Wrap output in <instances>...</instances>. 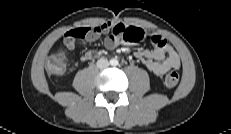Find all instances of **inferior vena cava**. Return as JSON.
<instances>
[{
  "label": "inferior vena cava",
  "instance_id": "1",
  "mask_svg": "<svg viewBox=\"0 0 231 134\" xmlns=\"http://www.w3.org/2000/svg\"><path fill=\"white\" fill-rule=\"evenodd\" d=\"M109 66V62L107 59L105 58H100L98 61H97V67L100 68V69H103V68H106Z\"/></svg>",
  "mask_w": 231,
  "mask_h": 134
}]
</instances>
